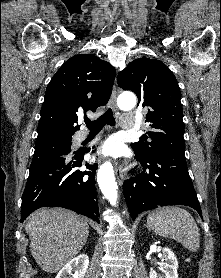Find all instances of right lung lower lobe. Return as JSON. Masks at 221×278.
Instances as JSON below:
<instances>
[{
    "label": "right lung lower lobe",
    "instance_id": "right-lung-lower-lobe-1",
    "mask_svg": "<svg viewBox=\"0 0 221 278\" xmlns=\"http://www.w3.org/2000/svg\"><path fill=\"white\" fill-rule=\"evenodd\" d=\"M89 152V150L87 151ZM84 153L57 156L30 169L22 196L21 222L40 207H64L99 222L95 187L97 164L82 166Z\"/></svg>",
    "mask_w": 221,
    "mask_h": 278
}]
</instances>
